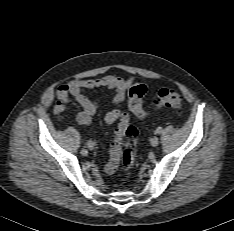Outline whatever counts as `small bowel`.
<instances>
[{
  "instance_id": "small-bowel-1",
  "label": "small bowel",
  "mask_w": 234,
  "mask_h": 231,
  "mask_svg": "<svg viewBox=\"0 0 234 231\" xmlns=\"http://www.w3.org/2000/svg\"><path fill=\"white\" fill-rule=\"evenodd\" d=\"M132 85L131 79H125L115 75H107L99 79H79L62 84L57 90V103L54 106V113L61 114L67 109L70 96L82 107V111L76 116L80 125H89L97 111L98 103L90 100L86 92L93 89H109L113 92L114 108L105 114L104 120L112 124L121 118V121L128 122V116L121 111L126 93ZM116 171V165L110 160L105 165V172L112 174Z\"/></svg>"
}]
</instances>
